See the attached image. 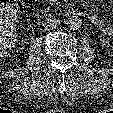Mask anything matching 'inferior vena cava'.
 Listing matches in <instances>:
<instances>
[{
  "instance_id": "obj_1",
  "label": "inferior vena cava",
  "mask_w": 113,
  "mask_h": 113,
  "mask_svg": "<svg viewBox=\"0 0 113 113\" xmlns=\"http://www.w3.org/2000/svg\"><path fill=\"white\" fill-rule=\"evenodd\" d=\"M43 26L46 30H55L59 28L60 21L54 17H48L45 22L43 23Z\"/></svg>"
}]
</instances>
